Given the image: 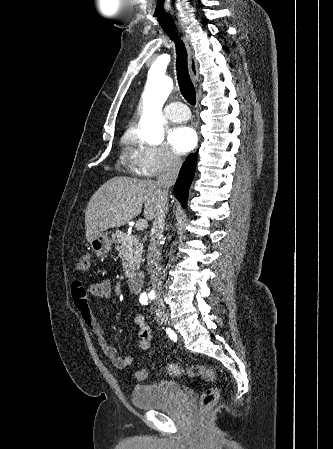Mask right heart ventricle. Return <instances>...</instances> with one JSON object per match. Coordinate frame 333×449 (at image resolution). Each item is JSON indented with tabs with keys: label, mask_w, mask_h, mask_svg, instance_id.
<instances>
[{
	"label": "right heart ventricle",
	"mask_w": 333,
	"mask_h": 449,
	"mask_svg": "<svg viewBox=\"0 0 333 449\" xmlns=\"http://www.w3.org/2000/svg\"><path fill=\"white\" fill-rule=\"evenodd\" d=\"M130 142H131V138L128 135H126L122 140V143L124 146H128L130 144Z\"/></svg>",
	"instance_id": "obj_1"
}]
</instances>
